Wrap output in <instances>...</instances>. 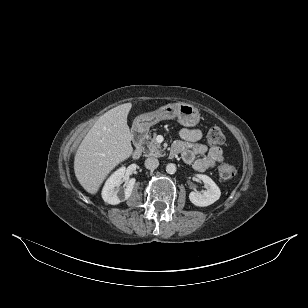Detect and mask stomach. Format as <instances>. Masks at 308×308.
<instances>
[{
	"label": "stomach",
	"mask_w": 308,
	"mask_h": 308,
	"mask_svg": "<svg viewBox=\"0 0 308 308\" xmlns=\"http://www.w3.org/2000/svg\"><path fill=\"white\" fill-rule=\"evenodd\" d=\"M174 117H177L181 125L187 127L197 125L200 120V114L196 107L187 103H175L138 116L134 121V126L139 130H147L161 120Z\"/></svg>",
	"instance_id": "1"
}]
</instances>
